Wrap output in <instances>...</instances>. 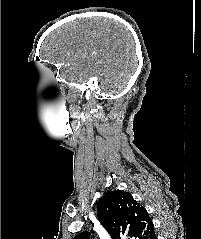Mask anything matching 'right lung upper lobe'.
<instances>
[{
	"instance_id": "1",
	"label": "right lung upper lobe",
	"mask_w": 201,
	"mask_h": 239,
	"mask_svg": "<svg viewBox=\"0 0 201 239\" xmlns=\"http://www.w3.org/2000/svg\"><path fill=\"white\" fill-rule=\"evenodd\" d=\"M97 215L112 239H154V226L148 212L128 192H107L97 204ZM89 237L87 232H82L74 239Z\"/></svg>"
}]
</instances>
